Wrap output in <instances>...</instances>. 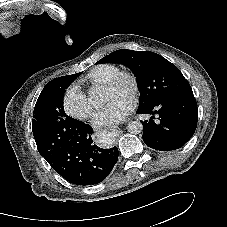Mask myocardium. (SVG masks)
Segmentation results:
<instances>
[{
    "instance_id": "myocardium-1",
    "label": "myocardium",
    "mask_w": 227,
    "mask_h": 227,
    "mask_svg": "<svg viewBox=\"0 0 227 227\" xmlns=\"http://www.w3.org/2000/svg\"><path fill=\"white\" fill-rule=\"evenodd\" d=\"M123 82L128 84L130 90V99L135 101L139 94V81L134 72L130 70H120L104 85L107 88H115Z\"/></svg>"
}]
</instances>
